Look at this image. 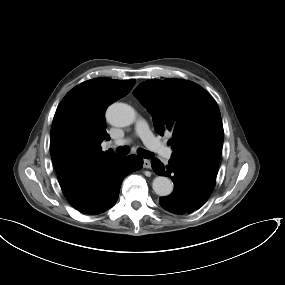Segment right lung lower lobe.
Returning a JSON list of instances; mask_svg holds the SVG:
<instances>
[{
	"label": "right lung lower lobe",
	"instance_id": "1",
	"mask_svg": "<svg viewBox=\"0 0 285 285\" xmlns=\"http://www.w3.org/2000/svg\"><path fill=\"white\" fill-rule=\"evenodd\" d=\"M142 166L143 159L137 155L122 158L99 173L69 203L83 214L97 215L108 210L118 199L124 177Z\"/></svg>",
	"mask_w": 285,
	"mask_h": 285
}]
</instances>
